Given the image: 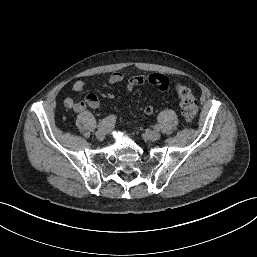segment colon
Listing matches in <instances>:
<instances>
[{"mask_svg": "<svg viewBox=\"0 0 257 257\" xmlns=\"http://www.w3.org/2000/svg\"><path fill=\"white\" fill-rule=\"evenodd\" d=\"M176 91L179 96L182 115L185 121L190 123L195 119L197 114L196 98L190 88L183 84H177Z\"/></svg>", "mask_w": 257, "mask_h": 257, "instance_id": "5ec220e1", "label": "colon"}]
</instances>
